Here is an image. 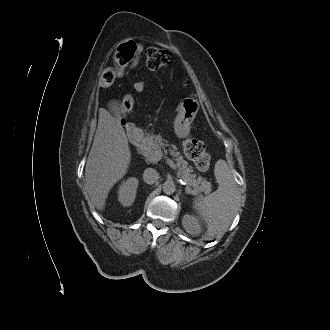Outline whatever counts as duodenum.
Segmentation results:
<instances>
[{
  "instance_id": "1",
  "label": "duodenum",
  "mask_w": 330,
  "mask_h": 330,
  "mask_svg": "<svg viewBox=\"0 0 330 330\" xmlns=\"http://www.w3.org/2000/svg\"><path fill=\"white\" fill-rule=\"evenodd\" d=\"M128 139L133 143L137 144L142 140L141 132L134 126L128 125L126 129Z\"/></svg>"
}]
</instances>
